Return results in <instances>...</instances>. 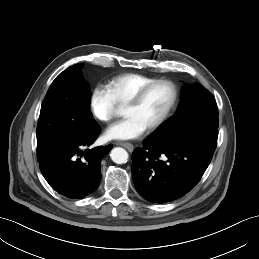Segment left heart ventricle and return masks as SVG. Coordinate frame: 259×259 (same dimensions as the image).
I'll use <instances>...</instances> for the list:
<instances>
[{"label": "left heart ventricle", "instance_id": "left-heart-ventricle-1", "mask_svg": "<svg viewBox=\"0 0 259 259\" xmlns=\"http://www.w3.org/2000/svg\"><path fill=\"white\" fill-rule=\"evenodd\" d=\"M171 89L165 84L151 88L136 106L124 107L123 114L137 119L145 128L153 124L165 111L171 99Z\"/></svg>", "mask_w": 259, "mask_h": 259}]
</instances>
